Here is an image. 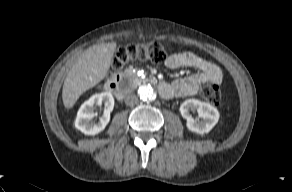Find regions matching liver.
<instances>
[{"label": "liver", "mask_w": 292, "mask_h": 192, "mask_svg": "<svg viewBox=\"0 0 292 192\" xmlns=\"http://www.w3.org/2000/svg\"><path fill=\"white\" fill-rule=\"evenodd\" d=\"M115 49V42L94 45L78 57L63 85L62 99L66 108H72L84 92L107 75Z\"/></svg>", "instance_id": "obj_1"}]
</instances>
